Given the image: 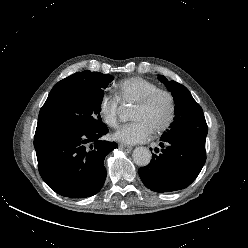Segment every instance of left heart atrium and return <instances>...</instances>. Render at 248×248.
Segmentation results:
<instances>
[{"instance_id": "left-heart-atrium-1", "label": "left heart atrium", "mask_w": 248, "mask_h": 248, "mask_svg": "<svg viewBox=\"0 0 248 248\" xmlns=\"http://www.w3.org/2000/svg\"><path fill=\"white\" fill-rule=\"evenodd\" d=\"M151 133V128L145 122L136 120L120 127L114 137L124 144H137L146 141Z\"/></svg>"}]
</instances>
